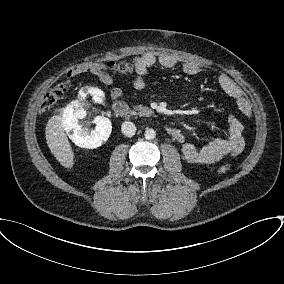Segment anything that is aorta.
Segmentation results:
<instances>
[{"instance_id":"aorta-1","label":"aorta","mask_w":284,"mask_h":284,"mask_svg":"<svg viewBox=\"0 0 284 284\" xmlns=\"http://www.w3.org/2000/svg\"><path fill=\"white\" fill-rule=\"evenodd\" d=\"M155 137H156V132H155L154 129H151V128L146 129V131H145V138L147 140H153Z\"/></svg>"}]
</instances>
